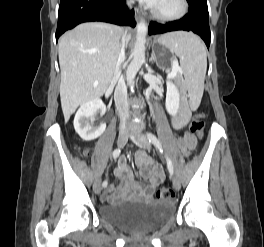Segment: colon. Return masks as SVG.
Listing matches in <instances>:
<instances>
[{"instance_id": "colon-1", "label": "colon", "mask_w": 264, "mask_h": 247, "mask_svg": "<svg viewBox=\"0 0 264 247\" xmlns=\"http://www.w3.org/2000/svg\"><path fill=\"white\" fill-rule=\"evenodd\" d=\"M204 126H205L204 114L203 113L195 114L190 124L191 132L200 137L203 134ZM156 195L159 199L167 200L173 197V192L171 189L164 187V188L159 189Z\"/></svg>"}]
</instances>
